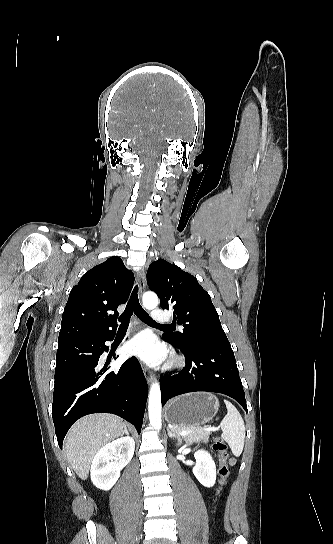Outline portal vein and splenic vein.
I'll return each instance as SVG.
<instances>
[{
	"mask_svg": "<svg viewBox=\"0 0 333 544\" xmlns=\"http://www.w3.org/2000/svg\"><path fill=\"white\" fill-rule=\"evenodd\" d=\"M203 430L211 431L212 428H203ZM180 434L185 435V434H187V431H182V432H180Z\"/></svg>",
	"mask_w": 333,
	"mask_h": 544,
	"instance_id": "obj_1",
	"label": "portal vein and splenic vein"
}]
</instances>
